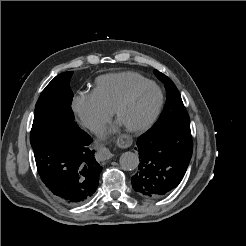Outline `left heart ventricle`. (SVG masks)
Instances as JSON below:
<instances>
[{
	"instance_id": "b2bd125f",
	"label": "left heart ventricle",
	"mask_w": 246,
	"mask_h": 246,
	"mask_svg": "<svg viewBox=\"0 0 246 246\" xmlns=\"http://www.w3.org/2000/svg\"><path fill=\"white\" fill-rule=\"evenodd\" d=\"M157 91L153 87H146L139 91L120 114L119 122L123 126H136L143 123L152 113Z\"/></svg>"
}]
</instances>
